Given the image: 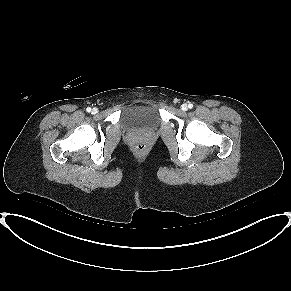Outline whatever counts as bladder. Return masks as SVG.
I'll list each match as a JSON object with an SVG mask.
<instances>
[{
  "label": "bladder",
  "mask_w": 291,
  "mask_h": 291,
  "mask_svg": "<svg viewBox=\"0 0 291 291\" xmlns=\"http://www.w3.org/2000/svg\"><path fill=\"white\" fill-rule=\"evenodd\" d=\"M123 122L127 128H155L160 123V113L153 105H132L126 109Z\"/></svg>",
  "instance_id": "31cf9c89"
}]
</instances>
